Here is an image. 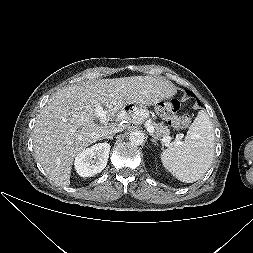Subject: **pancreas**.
I'll return each mask as SVG.
<instances>
[{
	"label": "pancreas",
	"instance_id": "pancreas-1",
	"mask_svg": "<svg viewBox=\"0 0 253 253\" xmlns=\"http://www.w3.org/2000/svg\"><path fill=\"white\" fill-rule=\"evenodd\" d=\"M154 132L157 136H168L170 134V131L167 126H165L163 123H154Z\"/></svg>",
	"mask_w": 253,
	"mask_h": 253
}]
</instances>
